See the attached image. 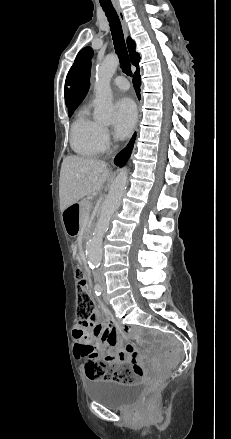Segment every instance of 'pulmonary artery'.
<instances>
[{
  "mask_svg": "<svg viewBox=\"0 0 231 439\" xmlns=\"http://www.w3.org/2000/svg\"><path fill=\"white\" fill-rule=\"evenodd\" d=\"M113 85L120 90H127L129 88L128 81L123 76H117L112 81Z\"/></svg>",
  "mask_w": 231,
  "mask_h": 439,
  "instance_id": "obj_1",
  "label": "pulmonary artery"
}]
</instances>
